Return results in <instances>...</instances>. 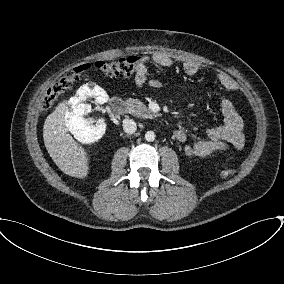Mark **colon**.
Returning a JSON list of instances; mask_svg holds the SVG:
<instances>
[{
    "label": "colon",
    "mask_w": 284,
    "mask_h": 284,
    "mask_svg": "<svg viewBox=\"0 0 284 284\" xmlns=\"http://www.w3.org/2000/svg\"><path fill=\"white\" fill-rule=\"evenodd\" d=\"M143 65V60L138 56H128L112 61H99L95 63V67L102 71L108 77H126L137 72L138 68ZM90 69L89 64L78 66L57 82H55L45 93L42 101V110L49 109L54 101L66 90L70 89L80 78ZM234 169L227 164L222 169V175L227 177L233 174Z\"/></svg>",
    "instance_id": "5ec220e1"
}]
</instances>
